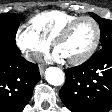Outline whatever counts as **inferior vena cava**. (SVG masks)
I'll use <instances>...</instances> for the list:
<instances>
[{
	"label": "inferior vena cava",
	"instance_id": "inferior-vena-cava-1",
	"mask_svg": "<svg viewBox=\"0 0 112 112\" xmlns=\"http://www.w3.org/2000/svg\"><path fill=\"white\" fill-rule=\"evenodd\" d=\"M40 57V55L37 53V52H32V53H29V54H26L25 55V58L28 60V61H35V60H38Z\"/></svg>",
	"mask_w": 112,
	"mask_h": 112
}]
</instances>
